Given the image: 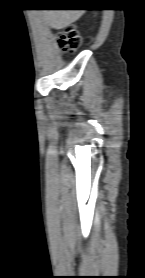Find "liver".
I'll use <instances>...</instances> for the list:
<instances>
[{"label":"liver","mask_w":145,"mask_h":278,"mask_svg":"<svg viewBox=\"0 0 145 278\" xmlns=\"http://www.w3.org/2000/svg\"><path fill=\"white\" fill-rule=\"evenodd\" d=\"M84 10H43L42 19L54 29H63L78 20Z\"/></svg>","instance_id":"liver-1"}]
</instances>
